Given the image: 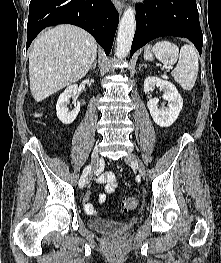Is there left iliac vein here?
Here are the masks:
<instances>
[{
  "label": "left iliac vein",
  "mask_w": 221,
  "mask_h": 263,
  "mask_svg": "<svg viewBox=\"0 0 221 263\" xmlns=\"http://www.w3.org/2000/svg\"><path fill=\"white\" fill-rule=\"evenodd\" d=\"M125 162L128 163L130 166L136 168L142 177L145 176L146 173L145 166L143 162L135 154L127 155L125 157Z\"/></svg>",
  "instance_id": "left-iliac-vein-1"
}]
</instances>
